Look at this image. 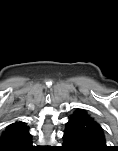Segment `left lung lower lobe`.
Wrapping results in <instances>:
<instances>
[{
    "label": "left lung lower lobe",
    "instance_id": "0a47b994",
    "mask_svg": "<svg viewBox=\"0 0 118 151\" xmlns=\"http://www.w3.org/2000/svg\"><path fill=\"white\" fill-rule=\"evenodd\" d=\"M63 141V151H95L83 137L69 129H65Z\"/></svg>",
    "mask_w": 118,
    "mask_h": 151
}]
</instances>
